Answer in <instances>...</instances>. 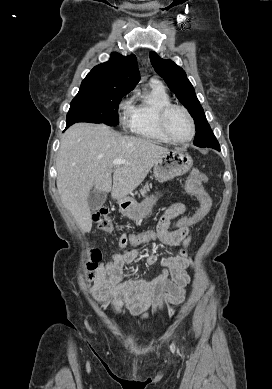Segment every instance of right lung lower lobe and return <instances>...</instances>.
<instances>
[{
  "label": "right lung lower lobe",
  "instance_id": "98d812e1",
  "mask_svg": "<svg viewBox=\"0 0 272 389\" xmlns=\"http://www.w3.org/2000/svg\"><path fill=\"white\" fill-rule=\"evenodd\" d=\"M69 126H70V124L67 123V124H66V129H67Z\"/></svg>",
  "mask_w": 272,
  "mask_h": 389
}]
</instances>
